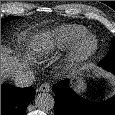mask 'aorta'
I'll return each instance as SVG.
<instances>
[{"label": "aorta", "instance_id": "762f6f07", "mask_svg": "<svg viewBox=\"0 0 115 115\" xmlns=\"http://www.w3.org/2000/svg\"><path fill=\"white\" fill-rule=\"evenodd\" d=\"M54 97L49 93H40L36 97V106L44 111H48L54 108Z\"/></svg>", "mask_w": 115, "mask_h": 115}]
</instances>
